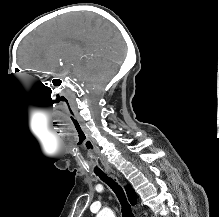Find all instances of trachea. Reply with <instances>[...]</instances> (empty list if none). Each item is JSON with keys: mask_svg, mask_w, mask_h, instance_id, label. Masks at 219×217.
Returning <instances> with one entry per match:
<instances>
[{"mask_svg": "<svg viewBox=\"0 0 219 217\" xmlns=\"http://www.w3.org/2000/svg\"><path fill=\"white\" fill-rule=\"evenodd\" d=\"M96 175H98L99 178L103 182H105L117 195V197L121 203V206H122V216L123 217H135L131 208H130V205L128 204V202L126 200L125 194H124L121 186H119L111 177L107 176L102 171L96 172Z\"/></svg>", "mask_w": 219, "mask_h": 217, "instance_id": "obj_1", "label": "trachea"}]
</instances>
